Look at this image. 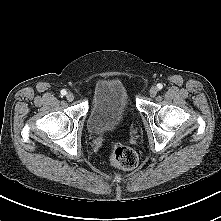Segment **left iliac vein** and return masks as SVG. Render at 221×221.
Here are the masks:
<instances>
[{"label":"left iliac vein","mask_w":221,"mask_h":221,"mask_svg":"<svg viewBox=\"0 0 221 221\" xmlns=\"http://www.w3.org/2000/svg\"><path fill=\"white\" fill-rule=\"evenodd\" d=\"M157 92H158V89H157L155 86H153V87H151L150 90H149V95H150L151 97H155V96L157 95Z\"/></svg>","instance_id":"4c4485c4"}]
</instances>
